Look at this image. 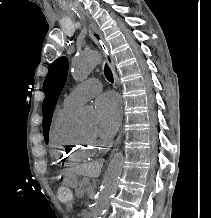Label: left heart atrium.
Masks as SVG:
<instances>
[{"label": "left heart atrium", "instance_id": "1", "mask_svg": "<svg viewBox=\"0 0 211 218\" xmlns=\"http://www.w3.org/2000/svg\"><path fill=\"white\" fill-rule=\"evenodd\" d=\"M95 106L98 113V131L104 139L113 137L118 131L121 120V108L115 94L107 92L100 95Z\"/></svg>", "mask_w": 211, "mask_h": 218}]
</instances>
